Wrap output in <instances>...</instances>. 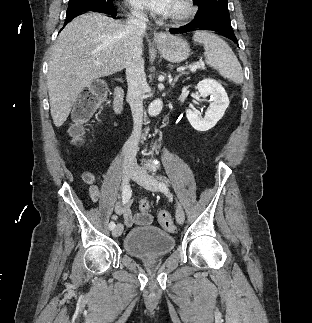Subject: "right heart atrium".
Listing matches in <instances>:
<instances>
[{"label":"right heart atrium","instance_id":"right-heart-atrium-1","mask_svg":"<svg viewBox=\"0 0 312 323\" xmlns=\"http://www.w3.org/2000/svg\"><path fill=\"white\" fill-rule=\"evenodd\" d=\"M129 11L133 14V17H148V10H136L134 6L129 8Z\"/></svg>","mask_w":312,"mask_h":323}]
</instances>
